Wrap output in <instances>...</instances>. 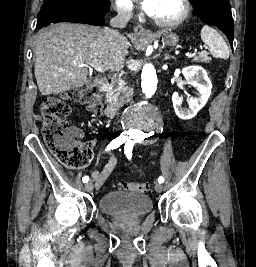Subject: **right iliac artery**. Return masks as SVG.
<instances>
[{"mask_svg": "<svg viewBox=\"0 0 256 267\" xmlns=\"http://www.w3.org/2000/svg\"><path fill=\"white\" fill-rule=\"evenodd\" d=\"M127 140V137L124 136H119L116 139L112 140L110 142V144L107 146L106 150H110V149H116L118 148L120 145H122L125 141ZM83 183H87L89 181V177L85 176L82 178Z\"/></svg>", "mask_w": 256, "mask_h": 267, "instance_id": "obj_1", "label": "right iliac artery"}]
</instances>
